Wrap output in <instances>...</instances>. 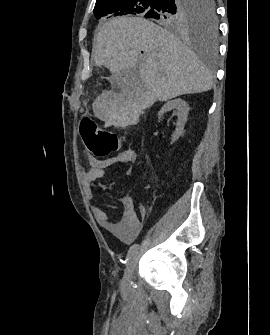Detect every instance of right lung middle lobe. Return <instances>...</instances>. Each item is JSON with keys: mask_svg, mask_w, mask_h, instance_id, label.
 Instances as JSON below:
<instances>
[{"mask_svg": "<svg viewBox=\"0 0 270 335\" xmlns=\"http://www.w3.org/2000/svg\"><path fill=\"white\" fill-rule=\"evenodd\" d=\"M214 0H97V19L142 14L174 30L205 33L211 42L217 33Z\"/></svg>", "mask_w": 270, "mask_h": 335, "instance_id": "dd1d6c3e", "label": "right lung middle lobe"}]
</instances>
